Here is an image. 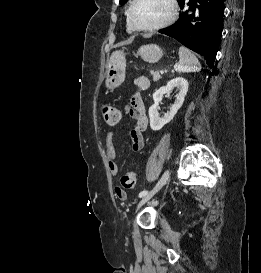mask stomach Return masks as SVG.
Returning <instances> with one entry per match:
<instances>
[{"mask_svg":"<svg viewBox=\"0 0 261 273\" xmlns=\"http://www.w3.org/2000/svg\"><path fill=\"white\" fill-rule=\"evenodd\" d=\"M137 54L148 63L158 62L162 56V49L156 44H148L141 46ZM126 59L122 51L112 53L107 69L105 85L109 90L118 87L125 79Z\"/></svg>","mask_w":261,"mask_h":273,"instance_id":"obj_1","label":"stomach"}]
</instances>
